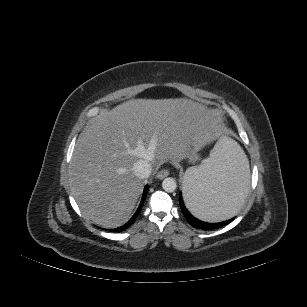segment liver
I'll use <instances>...</instances> for the list:
<instances>
[{
    "label": "liver",
    "mask_w": 307,
    "mask_h": 307,
    "mask_svg": "<svg viewBox=\"0 0 307 307\" xmlns=\"http://www.w3.org/2000/svg\"><path fill=\"white\" fill-rule=\"evenodd\" d=\"M217 121L213 110L186 98L131 99L100 113L70 162L71 192L83 215L104 228L126 223L143 187L134 163L182 159L190 145L209 142Z\"/></svg>",
    "instance_id": "1"
}]
</instances>
